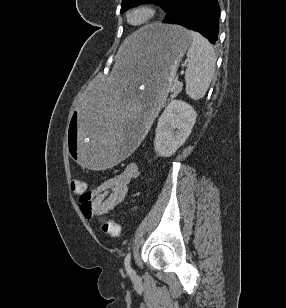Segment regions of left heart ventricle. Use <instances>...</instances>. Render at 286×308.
<instances>
[{"label": "left heart ventricle", "instance_id": "1", "mask_svg": "<svg viewBox=\"0 0 286 308\" xmlns=\"http://www.w3.org/2000/svg\"><path fill=\"white\" fill-rule=\"evenodd\" d=\"M146 17V14L142 11L135 12L131 15L130 20L132 23H140Z\"/></svg>", "mask_w": 286, "mask_h": 308}]
</instances>
